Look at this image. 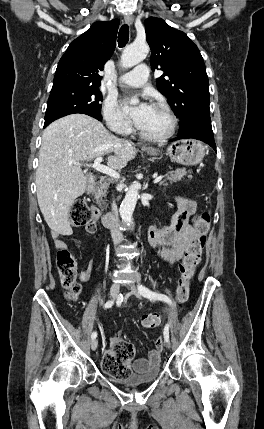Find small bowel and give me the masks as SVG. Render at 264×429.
<instances>
[{
	"mask_svg": "<svg viewBox=\"0 0 264 429\" xmlns=\"http://www.w3.org/2000/svg\"><path fill=\"white\" fill-rule=\"evenodd\" d=\"M177 203L178 211L172 218V221L169 225H166L161 229L150 227L147 231L149 244L155 249L159 257L169 264H174L180 260L186 249L199 237L197 230L189 224V218L196 211V202L191 198L178 197ZM95 230L96 221H92L87 226V231L89 233H94ZM71 233L72 230L70 228H67L63 232H54L52 236L55 246L58 249H66V244L61 239V237L64 235H70ZM93 269V264L87 265L86 268L80 273V280L82 282H89ZM121 341L122 338L117 336L113 340L112 345H115ZM111 353L112 349L108 350L105 354ZM159 362L160 350L155 349L148 353L147 358H138L133 362L130 361L128 363V368L130 372L133 369L137 373H143L150 367L158 365Z\"/></svg>",
	"mask_w": 264,
	"mask_h": 429,
	"instance_id": "1",
	"label": "small bowel"
}]
</instances>
